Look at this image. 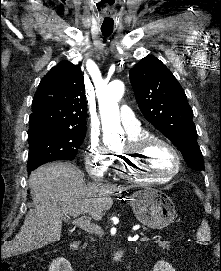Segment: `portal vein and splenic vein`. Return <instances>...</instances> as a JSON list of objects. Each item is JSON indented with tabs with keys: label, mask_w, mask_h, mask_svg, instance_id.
Returning a JSON list of instances; mask_svg holds the SVG:
<instances>
[{
	"label": "portal vein and splenic vein",
	"mask_w": 221,
	"mask_h": 271,
	"mask_svg": "<svg viewBox=\"0 0 221 271\" xmlns=\"http://www.w3.org/2000/svg\"><path fill=\"white\" fill-rule=\"evenodd\" d=\"M71 217H74L72 219L73 225H78V227H81V229H85V231H90L91 234H100L101 227L98 225H92L90 223V219H88L87 215H81V217H77V215H71ZM64 221H69V217H63ZM152 237L150 235H142V240H150Z\"/></svg>",
	"instance_id": "obj_1"
}]
</instances>
